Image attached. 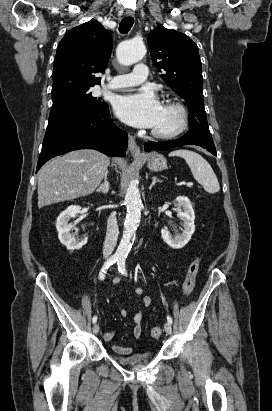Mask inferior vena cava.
Listing matches in <instances>:
<instances>
[{
  "mask_svg": "<svg viewBox=\"0 0 272 411\" xmlns=\"http://www.w3.org/2000/svg\"><path fill=\"white\" fill-rule=\"evenodd\" d=\"M119 229L116 219V214L111 213L107 221V232L103 246V257L105 259L109 258L116 246L118 239Z\"/></svg>",
  "mask_w": 272,
  "mask_h": 411,
  "instance_id": "obj_1",
  "label": "inferior vena cava"
}]
</instances>
